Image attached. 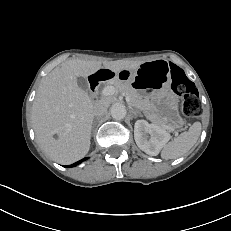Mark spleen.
Returning a JSON list of instances; mask_svg holds the SVG:
<instances>
[{
  "label": "spleen",
  "instance_id": "3e777b00",
  "mask_svg": "<svg viewBox=\"0 0 231 231\" xmlns=\"http://www.w3.org/2000/svg\"><path fill=\"white\" fill-rule=\"evenodd\" d=\"M201 133V123L195 122L188 131L163 146L161 157L163 159H176L187 153L197 142Z\"/></svg>",
  "mask_w": 231,
  "mask_h": 231
}]
</instances>
